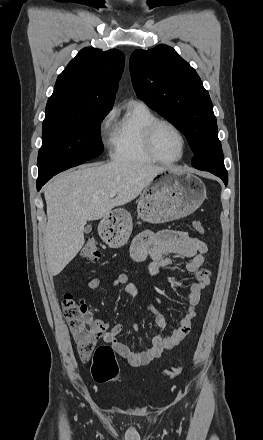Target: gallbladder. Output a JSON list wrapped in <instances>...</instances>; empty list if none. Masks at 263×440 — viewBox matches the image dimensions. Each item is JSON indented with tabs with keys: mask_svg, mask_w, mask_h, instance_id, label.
Here are the masks:
<instances>
[{
	"mask_svg": "<svg viewBox=\"0 0 263 440\" xmlns=\"http://www.w3.org/2000/svg\"><path fill=\"white\" fill-rule=\"evenodd\" d=\"M91 230H92L91 225H87V226L85 227V229H84V232H85L86 234H88V233L91 232Z\"/></svg>",
	"mask_w": 263,
	"mask_h": 440,
	"instance_id": "obj_1",
	"label": "gallbladder"
}]
</instances>
